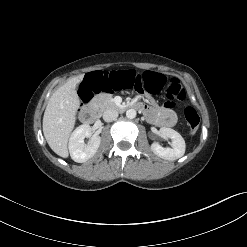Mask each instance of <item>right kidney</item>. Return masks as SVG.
Wrapping results in <instances>:
<instances>
[{
	"label": "right kidney",
	"instance_id": "obj_1",
	"mask_svg": "<svg viewBox=\"0 0 247 247\" xmlns=\"http://www.w3.org/2000/svg\"><path fill=\"white\" fill-rule=\"evenodd\" d=\"M91 135V127L87 124H83L77 127L72 133L69 139V151L71 158L78 163H84L95 155L97 152L101 138L100 136H94L92 144L86 146L84 143L85 137Z\"/></svg>",
	"mask_w": 247,
	"mask_h": 247
}]
</instances>
